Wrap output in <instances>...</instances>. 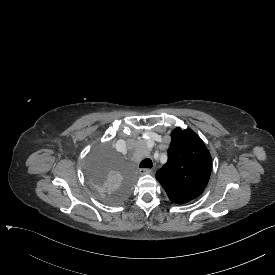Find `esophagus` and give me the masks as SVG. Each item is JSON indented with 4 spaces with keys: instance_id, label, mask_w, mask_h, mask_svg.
<instances>
[{
    "instance_id": "1",
    "label": "esophagus",
    "mask_w": 275,
    "mask_h": 275,
    "mask_svg": "<svg viewBox=\"0 0 275 275\" xmlns=\"http://www.w3.org/2000/svg\"><path fill=\"white\" fill-rule=\"evenodd\" d=\"M139 173L141 175H147V174L151 173V169L150 168H141V169H139Z\"/></svg>"
}]
</instances>
